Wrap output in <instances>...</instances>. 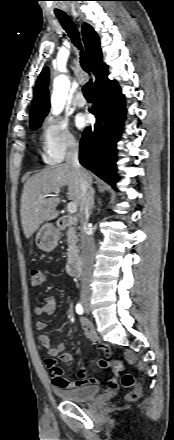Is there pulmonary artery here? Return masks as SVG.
<instances>
[{
    "label": "pulmonary artery",
    "instance_id": "pulmonary-artery-1",
    "mask_svg": "<svg viewBox=\"0 0 174 440\" xmlns=\"http://www.w3.org/2000/svg\"><path fill=\"white\" fill-rule=\"evenodd\" d=\"M75 104H76L78 107H84V106L86 105V100H85V98L83 97L82 94H78V95L75 97Z\"/></svg>",
    "mask_w": 174,
    "mask_h": 440
}]
</instances>
